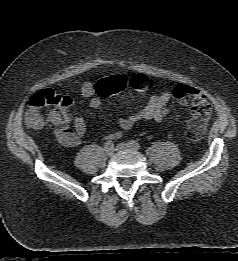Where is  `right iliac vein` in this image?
<instances>
[{
    "label": "right iliac vein",
    "instance_id": "63e3f726",
    "mask_svg": "<svg viewBox=\"0 0 238 261\" xmlns=\"http://www.w3.org/2000/svg\"><path fill=\"white\" fill-rule=\"evenodd\" d=\"M105 152H106L107 156L111 157V156H113L115 149H114V147L106 148Z\"/></svg>",
    "mask_w": 238,
    "mask_h": 261
}]
</instances>
